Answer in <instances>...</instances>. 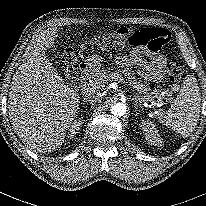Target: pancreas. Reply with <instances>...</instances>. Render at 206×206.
I'll list each match as a JSON object with an SVG mask.
<instances>
[{
	"label": "pancreas",
	"mask_w": 206,
	"mask_h": 206,
	"mask_svg": "<svg viewBox=\"0 0 206 206\" xmlns=\"http://www.w3.org/2000/svg\"><path fill=\"white\" fill-rule=\"evenodd\" d=\"M116 63L119 65L117 69L115 67H111L96 73L94 79L95 84H106L111 80L123 81L125 78L126 83L133 87L137 94H139V97L144 101H149L160 97L159 91H152L147 85L137 82L134 78V74L126 68L135 63L133 59L128 56H119L117 57Z\"/></svg>",
	"instance_id": "pancreas-1"
}]
</instances>
